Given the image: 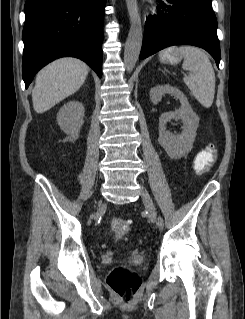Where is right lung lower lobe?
Wrapping results in <instances>:
<instances>
[{"label": "right lung lower lobe", "mask_w": 245, "mask_h": 319, "mask_svg": "<svg viewBox=\"0 0 245 319\" xmlns=\"http://www.w3.org/2000/svg\"><path fill=\"white\" fill-rule=\"evenodd\" d=\"M106 0H26L22 76L27 88L49 62L72 56L102 75Z\"/></svg>", "instance_id": "98d812e1"}]
</instances>
